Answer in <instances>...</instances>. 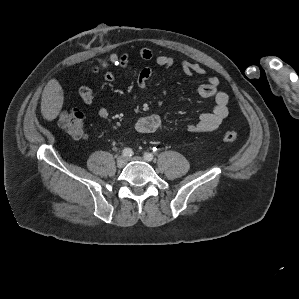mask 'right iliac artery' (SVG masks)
Instances as JSON below:
<instances>
[{
  "label": "right iliac artery",
  "mask_w": 299,
  "mask_h": 299,
  "mask_svg": "<svg viewBox=\"0 0 299 299\" xmlns=\"http://www.w3.org/2000/svg\"><path fill=\"white\" fill-rule=\"evenodd\" d=\"M122 154L123 156L125 157H131L133 155V151L131 148H125L123 151H122Z\"/></svg>",
  "instance_id": "obj_1"
}]
</instances>
